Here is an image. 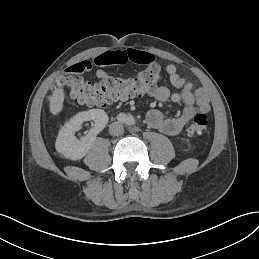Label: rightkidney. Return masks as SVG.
Segmentation results:
<instances>
[{
    "label": "right kidney",
    "mask_w": 259,
    "mask_h": 259,
    "mask_svg": "<svg viewBox=\"0 0 259 259\" xmlns=\"http://www.w3.org/2000/svg\"><path fill=\"white\" fill-rule=\"evenodd\" d=\"M94 121V127L81 139H77L74 133L81 128L85 121ZM108 115L102 109H91L76 114L59 131L56 139V150L71 160L83 158L93 146L96 136L108 123Z\"/></svg>",
    "instance_id": "ca27d5eb"
}]
</instances>
